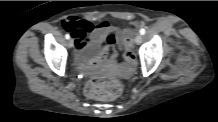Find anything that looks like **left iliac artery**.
<instances>
[{
  "mask_svg": "<svg viewBox=\"0 0 218 122\" xmlns=\"http://www.w3.org/2000/svg\"><path fill=\"white\" fill-rule=\"evenodd\" d=\"M140 34H141V35H144V34H145V28H141V29H140Z\"/></svg>",
  "mask_w": 218,
  "mask_h": 122,
  "instance_id": "1",
  "label": "left iliac artery"
}]
</instances>
